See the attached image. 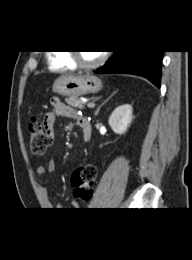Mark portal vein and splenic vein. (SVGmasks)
<instances>
[{"instance_id": "obj_1", "label": "portal vein and splenic vein", "mask_w": 192, "mask_h": 260, "mask_svg": "<svg viewBox=\"0 0 192 260\" xmlns=\"http://www.w3.org/2000/svg\"><path fill=\"white\" fill-rule=\"evenodd\" d=\"M87 107L88 108H93V107H95V103L90 102V103L87 104Z\"/></svg>"}]
</instances>
